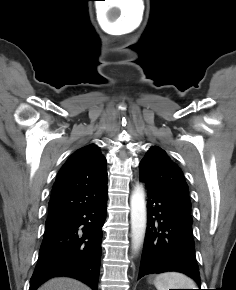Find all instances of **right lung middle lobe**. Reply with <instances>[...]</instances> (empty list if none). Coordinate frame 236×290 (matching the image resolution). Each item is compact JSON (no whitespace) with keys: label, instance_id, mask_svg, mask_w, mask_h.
Wrapping results in <instances>:
<instances>
[{"label":"right lung middle lobe","instance_id":"dd1d6c3e","mask_svg":"<svg viewBox=\"0 0 236 290\" xmlns=\"http://www.w3.org/2000/svg\"><path fill=\"white\" fill-rule=\"evenodd\" d=\"M49 225H52V224H49V223L46 222V226H49Z\"/></svg>","mask_w":236,"mask_h":290}]
</instances>
